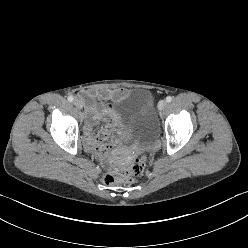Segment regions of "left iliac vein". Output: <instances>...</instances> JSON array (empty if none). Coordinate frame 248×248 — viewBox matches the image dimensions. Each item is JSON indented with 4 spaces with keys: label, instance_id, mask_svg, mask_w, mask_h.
<instances>
[{
    "label": "left iliac vein",
    "instance_id": "left-iliac-vein-1",
    "mask_svg": "<svg viewBox=\"0 0 248 248\" xmlns=\"http://www.w3.org/2000/svg\"><path fill=\"white\" fill-rule=\"evenodd\" d=\"M167 106V101L166 100H160L159 103H158V109L160 111L164 110L165 107Z\"/></svg>",
    "mask_w": 248,
    "mask_h": 248
}]
</instances>
